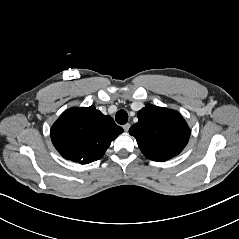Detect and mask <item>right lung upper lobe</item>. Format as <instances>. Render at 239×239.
I'll return each instance as SVG.
<instances>
[{
    "label": "right lung upper lobe",
    "mask_w": 239,
    "mask_h": 239,
    "mask_svg": "<svg viewBox=\"0 0 239 239\" xmlns=\"http://www.w3.org/2000/svg\"><path fill=\"white\" fill-rule=\"evenodd\" d=\"M123 132L94 106L66 110L51 128L52 143L67 160L88 164L100 159Z\"/></svg>",
    "instance_id": "right-lung-upper-lobe-1"
}]
</instances>
